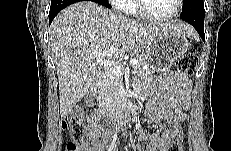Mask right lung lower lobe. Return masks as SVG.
<instances>
[{
	"label": "right lung lower lobe",
	"mask_w": 231,
	"mask_h": 151,
	"mask_svg": "<svg viewBox=\"0 0 231 151\" xmlns=\"http://www.w3.org/2000/svg\"><path fill=\"white\" fill-rule=\"evenodd\" d=\"M95 3H98L107 8H111L108 0H93ZM78 0H52L51 7L49 12V25L53 21L54 17L65 7L70 4L76 3Z\"/></svg>",
	"instance_id": "1"
}]
</instances>
